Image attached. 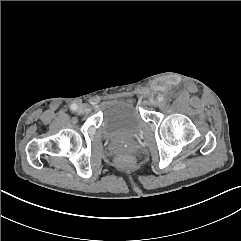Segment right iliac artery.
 Segmentation results:
<instances>
[{
	"mask_svg": "<svg viewBox=\"0 0 241 241\" xmlns=\"http://www.w3.org/2000/svg\"><path fill=\"white\" fill-rule=\"evenodd\" d=\"M70 108L72 111H76L78 109V106L77 104H72Z\"/></svg>",
	"mask_w": 241,
	"mask_h": 241,
	"instance_id": "1",
	"label": "right iliac artery"
}]
</instances>
